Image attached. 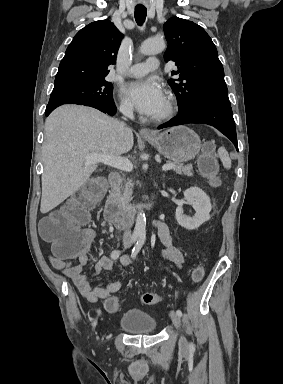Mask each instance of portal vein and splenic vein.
I'll list each match as a JSON object with an SVG mask.
<instances>
[{
    "label": "portal vein and splenic vein",
    "mask_w": 283,
    "mask_h": 384,
    "mask_svg": "<svg viewBox=\"0 0 283 384\" xmlns=\"http://www.w3.org/2000/svg\"><path fill=\"white\" fill-rule=\"evenodd\" d=\"M106 164V166H112V168H117V170H123V172H131L133 170L132 162L127 160V158H120V156H104V154H87L85 164ZM174 168L173 164H165L162 170H172Z\"/></svg>",
    "instance_id": "1"
}]
</instances>
